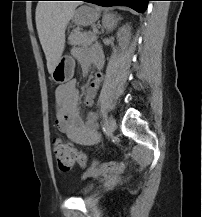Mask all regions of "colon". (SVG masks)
<instances>
[{"label": "colon", "instance_id": "obj_1", "mask_svg": "<svg viewBox=\"0 0 202 217\" xmlns=\"http://www.w3.org/2000/svg\"><path fill=\"white\" fill-rule=\"evenodd\" d=\"M54 155L61 171L71 170L74 163L77 161L82 167L87 166L86 156L69 143L63 140H57L54 144ZM124 169V164L121 162H107L99 167L100 172H119Z\"/></svg>", "mask_w": 202, "mask_h": 217}]
</instances>
